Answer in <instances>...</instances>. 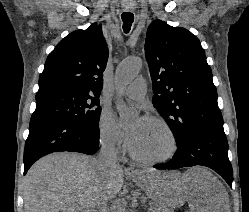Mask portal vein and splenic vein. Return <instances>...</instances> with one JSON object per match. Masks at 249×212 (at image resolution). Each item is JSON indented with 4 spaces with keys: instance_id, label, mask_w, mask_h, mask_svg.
<instances>
[{
    "instance_id": "portal-vein-and-splenic-vein-1",
    "label": "portal vein and splenic vein",
    "mask_w": 249,
    "mask_h": 212,
    "mask_svg": "<svg viewBox=\"0 0 249 212\" xmlns=\"http://www.w3.org/2000/svg\"><path fill=\"white\" fill-rule=\"evenodd\" d=\"M93 212H95V210H93ZM150 212H153V210H150Z\"/></svg>"
}]
</instances>
